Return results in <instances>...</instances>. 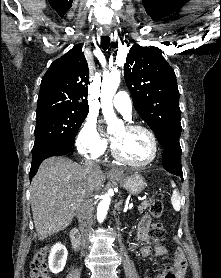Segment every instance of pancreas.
<instances>
[{"label":"pancreas","mask_w":221,"mask_h":278,"mask_svg":"<svg viewBox=\"0 0 221 278\" xmlns=\"http://www.w3.org/2000/svg\"><path fill=\"white\" fill-rule=\"evenodd\" d=\"M151 206V203L150 201H144L139 207H138V210L140 213H143L144 210H146L148 207Z\"/></svg>","instance_id":"obj_1"}]
</instances>
